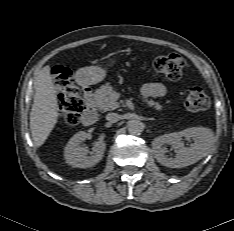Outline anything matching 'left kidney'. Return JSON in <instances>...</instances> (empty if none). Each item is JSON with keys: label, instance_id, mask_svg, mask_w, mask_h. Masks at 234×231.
Instances as JSON below:
<instances>
[{"label": "left kidney", "instance_id": "1", "mask_svg": "<svg viewBox=\"0 0 234 231\" xmlns=\"http://www.w3.org/2000/svg\"><path fill=\"white\" fill-rule=\"evenodd\" d=\"M182 137L192 138L194 143L184 147ZM213 132L205 127L187 128L180 132L164 134L152 141L155 158L163 166L182 168L196 163L202 157L211 153L215 148ZM171 145L176 152L175 158L165 155L166 146Z\"/></svg>", "mask_w": 234, "mask_h": 231}]
</instances>
